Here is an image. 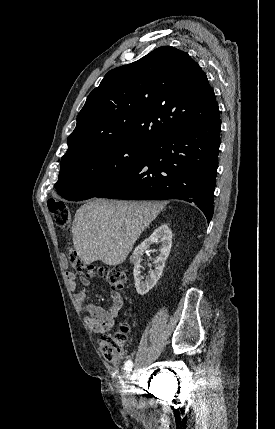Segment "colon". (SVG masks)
<instances>
[{
    "instance_id": "obj_1",
    "label": "colon",
    "mask_w": 275,
    "mask_h": 429,
    "mask_svg": "<svg viewBox=\"0 0 275 429\" xmlns=\"http://www.w3.org/2000/svg\"><path fill=\"white\" fill-rule=\"evenodd\" d=\"M48 208L53 216L54 222L60 229H68L71 223V212L63 202L52 200L48 202ZM64 262L69 261L71 266L82 276V278L100 277L104 279L113 289L124 288L127 276L125 270L120 266L96 267L84 263L74 252L68 256L63 255ZM128 325L122 324L119 331L114 335L101 336L98 340L99 349L104 359L111 364H120L124 358L126 334Z\"/></svg>"
}]
</instances>
